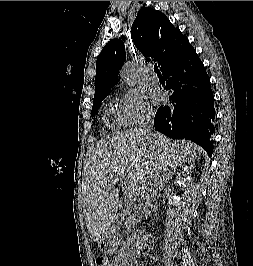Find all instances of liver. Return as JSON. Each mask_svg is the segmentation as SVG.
<instances>
[{
  "label": "liver",
  "mask_w": 253,
  "mask_h": 266,
  "mask_svg": "<svg viewBox=\"0 0 253 266\" xmlns=\"http://www.w3.org/2000/svg\"><path fill=\"white\" fill-rule=\"evenodd\" d=\"M192 151L194 155L202 152L189 142H172L158 132L150 141L138 129L91 145L84 162L82 194L87 229L93 241L98 242L106 235L120 216L122 179L129 177L144 184L152 172L165 171L167 167L175 171ZM115 179L118 181L114 182Z\"/></svg>",
  "instance_id": "1"
}]
</instances>
